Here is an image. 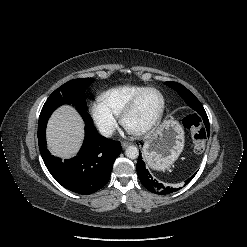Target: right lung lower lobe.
Segmentation results:
<instances>
[{"label":"right lung lower lobe","mask_w":247,"mask_h":247,"mask_svg":"<svg viewBox=\"0 0 247 247\" xmlns=\"http://www.w3.org/2000/svg\"><path fill=\"white\" fill-rule=\"evenodd\" d=\"M63 104L59 100L45 102L38 123L39 150L47 169L60 185L78 194H92L109 181L121 144L98 134L87 110L76 107L86 123L85 139L78 155L64 161L51 155L46 147V124L52 112Z\"/></svg>","instance_id":"right-lung-lower-lobe-1"}]
</instances>
